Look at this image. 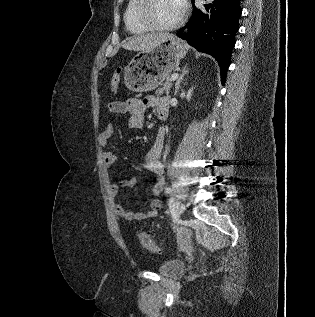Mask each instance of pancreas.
<instances>
[{"mask_svg": "<svg viewBox=\"0 0 315 317\" xmlns=\"http://www.w3.org/2000/svg\"><path fill=\"white\" fill-rule=\"evenodd\" d=\"M171 87H172L171 77L168 76V77H166V80L163 83V86L156 90V95L157 96H161L163 94H167L168 95L169 92H170Z\"/></svg>", "mask_w": 315, "mask_h": 317, "instance_id": "pancreas-1", "label": "pancreas"}]
</instances>
